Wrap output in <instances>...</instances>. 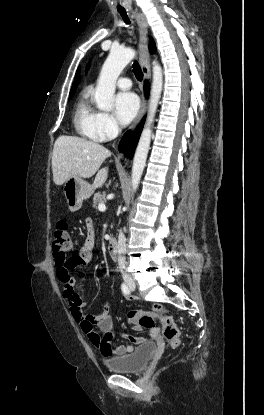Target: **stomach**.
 Instances as JSON below:
<instances>
[{
	"mask_svg": "<svg viewBox=\"0 0 264 415\" xmlns=\"http://www.w3.org/2000/svg\"><path fill=\"white\" fill-rule=\"evenodd\" d=\"M63 192L69 210L75 212L82 207L83 201L93 194L94 188L81 178L70 177L65 181Z\"/></svg>",
	"mask_w": 264,
	"mask_h": 415,
	"instance_id": "0dacf381",
	"label": "stomach"
}]
</instances>
